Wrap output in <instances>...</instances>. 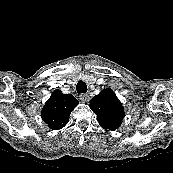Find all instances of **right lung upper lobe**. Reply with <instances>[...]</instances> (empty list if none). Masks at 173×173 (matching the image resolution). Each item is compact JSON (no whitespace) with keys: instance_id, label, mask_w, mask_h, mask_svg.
Listing matches in <instances>:
<instances>
[{"instance_id":"obj_1","label":"right lung upper lobe","mask_w":173,"mask_h":173,"mask_svg":"<svg viewBox=\"0 0 173 173\" xmlns=\"http://www.w3.org/2000/svg\"><path fill=\"white\" fill-rule=\"evenodd\" d=\"M78 103L72 94L55 90L44 105L41 117L51 129H61L69 122V115Z\"/></svg>"}]
</instances>
